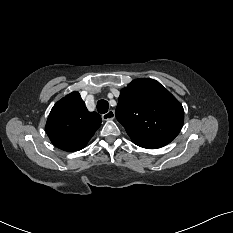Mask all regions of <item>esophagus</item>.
<instances>
[{"label":"esophagus","instance_id":"esophagus-1","mask_svg":"<svg viewBox=\"0 0 233 233\" xmlns=\"http://www.w3.org/2000/svg\"><path fill=\"white\" fill-rule=\"evenodd\" d=\"M114 117H115V113L113 110H109L107 113L102 115V119L104 121L112 120V119H114Z\"/></svg>","mask_w":233,"mask_h":233}]
</instances>
